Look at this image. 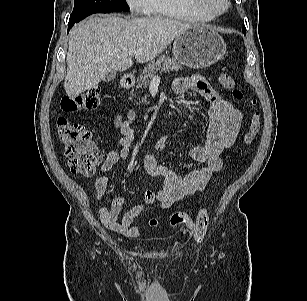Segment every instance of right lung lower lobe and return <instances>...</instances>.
Returning a JSON list of instances; mask_svg holds the SVG:
<instances>
[{
    "mask_svg": "<svg viewBox=\"0 0 307 301\" xmlns=\"http://www.w3.org/2000/svg\"><path fill=\"white\" fill-rule=\"evenodd\" d=\"M75 23H68V31L72 28Z\"/></svg>",
    "mask_w": 307,
    "mask_h": 301,
    "instance_id": "98d812e1",
    "label": "right lung lower lobe"
}]
</instances>
